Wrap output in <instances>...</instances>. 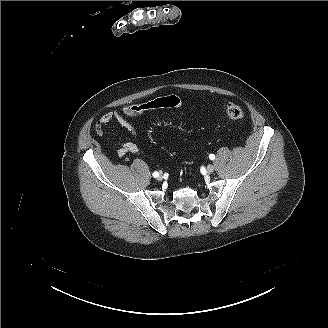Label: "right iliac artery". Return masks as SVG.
I'll return each instance as SVG.
<instances>
[{
	"label": "right iliac artery",
	"instance_id": "right-iliac-artery-1",
	"mask_svg": "<svg viewBox=\"0 0 328 328\" xmlns=\"http://www.w3.org/2000/svg\"><path fill=\"white\" fill-rule=\"evenodd\" d=\"M158 176H159V173L155 171V172L153 173V177L156 178V177H158Z\"/></svg>",
	"mask_w": 328,
	"mask_h": 328
}]
</instances>
